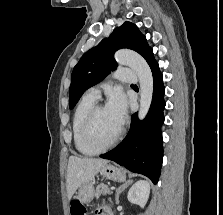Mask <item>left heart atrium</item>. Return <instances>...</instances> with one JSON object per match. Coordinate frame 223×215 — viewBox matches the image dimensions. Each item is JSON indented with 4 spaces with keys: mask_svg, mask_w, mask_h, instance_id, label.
<instances>
[{
    "mask_svg": "<svg viewBox=\"0 0 223 215\" xmlns=\"http://www.w3.org/2000/svg\"><path fill=\"white\" fill-rule=\"evenodd\" d=\"M105 109L115 119L119 126L124 123L126 119L127 102L120 91L112 93Z\"/></svg>",
    "mask_w": 223,
    "mask_h": 215,
    "instance_id": "obj_1",
    "label": "left heart atrium"
}]
</instances>
